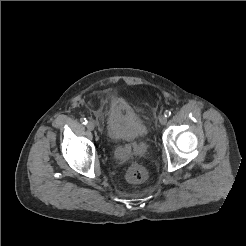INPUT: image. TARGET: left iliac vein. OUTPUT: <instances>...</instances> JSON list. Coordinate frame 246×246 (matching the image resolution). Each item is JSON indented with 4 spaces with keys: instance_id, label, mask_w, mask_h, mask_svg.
Here are the masks:
<instances>
[{
    "instance_id": "obj_1",
    "label": "left iliac vein",
    "mask_w": 246,
    "mask_h": 246,
    "mask_svg": "<svg viewBox=\"0 0 246 246\" xmlns=\"http://www.w3.org/2000/svg\"><path fill=\"white\" fill-rule=\"evenodd\" d=\"M159 123H160L161 125H165V124L167 123V117H165L164 115H161V116L159 117Z\"/></svg>"
}]
</instances>
